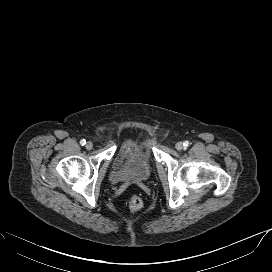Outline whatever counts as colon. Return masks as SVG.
Masks as SVG:
<instances>
[{"label":"colon","mask_w":272,"mask_h":272,"mask_svg":"<svg viewBox=\"0 0 272 272\" xmlns=\"http://www.w3.org/2000/svg\"><path fill=\"white\" fill-rule=\"evenodd\" d=\"M128 206L133 211H138L143 207V201L139 196H132L128 201Z\"/></svg>","instance_id":"1"}]
</instances>
